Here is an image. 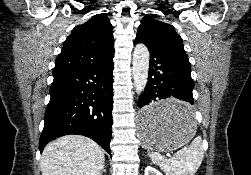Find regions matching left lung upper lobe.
Returning a JSON list of instances; mask_svg holds the SVG:
<instances>
[{
  "label": "left lung upper lobe",
  "instance_id": "1",
  "mask_svg": "<svg viewBox=\"0 0 251 175\" xmlns=\"http://www.w3.org/2000/svg\"><path fill=\"white\" fill-rule=\"evenodd\" d=\"M136 38L148 46L189 61L180 35L172 25L160 21L156 15L147 14L142 18Z\"/></svg>",
  "mask_w": 251,
  "mask_h": 175
}]
</instances>
